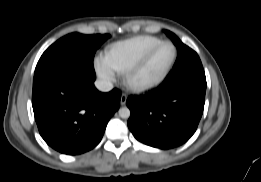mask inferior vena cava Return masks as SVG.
<instances>
[{"label":"inferior vena cava","instance_id":"obj_1","mask_svg":"<svg viewBox=\"0 0 261 182\" xmlns=\"http://www.w3.org/2000/svg\"><path fill=\"white\" fill-rule=\"evenodd\" d=\"M95 86L102 92H109L113 89V84L108 80L98 79L95 81Z\"/></svg>","mask_w":261,"mask_h":182}]
</instances>
